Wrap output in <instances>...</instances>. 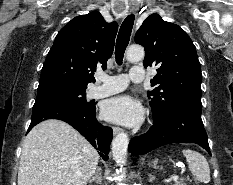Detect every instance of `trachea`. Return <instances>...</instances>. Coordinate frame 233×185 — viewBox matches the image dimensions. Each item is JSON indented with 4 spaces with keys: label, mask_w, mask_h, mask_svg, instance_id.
<instances>
[{
    "label": "trachea",
    "mask_w": 233,
    "mask_h": 185,
    "mask_svg": "<svg viewBox=\"0 0 233 185\" xmlns=\"http://www.w3.org/2000/svg\"><path fill=\"white\" fill-rule=\"evenodd\" d=\"M135 16L133 14L123 21L116 40L115 59L118 65L122 64L126 47L129 43Z\"/></svg>",
    "instance_id": "obj_1"
}]
</instances>
